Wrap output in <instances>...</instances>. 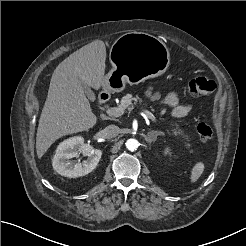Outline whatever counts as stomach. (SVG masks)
Listing matches in <instances>:
<instances>
[{
  "mask_svg": "<svg viewBox=\"0 0 246 246\" xmlns=\"http://www.w3.org/2000/svg\"><path fill=\"white\" fill-rule=\"evenodd\" d=\"M113 68L106 75L105 89L120 92L126 83L136 84L162 75L169 67L170 53L162 40L143 32H128L112 45Z\"/></svg>",
  "mask_w": 246,
  "mask_h": 246,
  "instance_id": "0dacf381",
  "label": "stomach"
}]
</instances>
